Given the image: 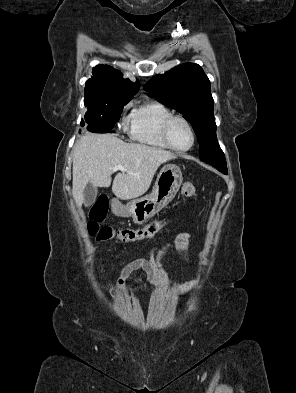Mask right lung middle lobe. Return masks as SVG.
<instances>
[{
	"instance_id": "right-lung-middle-lobe-1",
	"label": "right lung middle lobe",
	"mask_w": 296,
	"mask_h": 393,
	"mask_svg": "<svg viewBox=\"0 0 296 393\" xmlns=\"http://www.w3.org/2000/svg\"><path fill=\"white\" fill-rule=\"evenodd\" d=\"M128 102V99L84 101L88 111L84 120L81 121V126L87 124V130L92 128L104 131L113 130L114 124L120 118L123 106Z\"/></svg>"
}]
</instances>
